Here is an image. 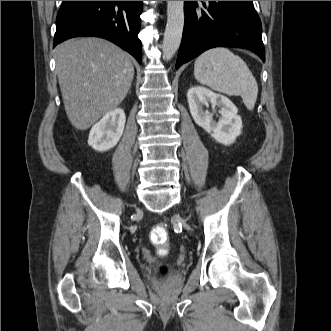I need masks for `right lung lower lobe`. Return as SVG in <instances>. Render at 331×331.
Returning <instances> with one entry per match:
<instances>
[{"label":"right lung lower lobe","instance_id":"98d812e1","mask_svg":"<svg viewBox=\"0 0 331 331\" xmlns=\"http://www.w3.org/2000/svg\"><path fill=\"white\" fill-rule=\"evenodd\" d=\"M142 1H63L57 15L54 47L73 37L112 41L141 63L138 39Z\"/></svg>","mask_w":331,"mask_h":331}]
</instances>
